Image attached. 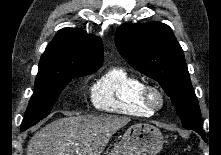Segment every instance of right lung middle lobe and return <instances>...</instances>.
Listing matches in <instances>:
<instances>
[{
	"instance_id": "right-lung-middle-lobe-1",
	"label": "right lung middle lobe",
	"mask_w": 221,
	"mask_h": 155,
	"mask_svg": "<svg viewBox=\"0 0 221 155\" xmlns=\"http://www.w3.org/2000/svg\"><path fill=\"white\" fill-rule=\"evenodd\" d=\"M98 66H80L68 69H43L38 71L35 80V92L27 107L21 130L24 131L47 117L63 91L73 77L85 76L99 69Z\"/></svg>"
}]
</instances>
